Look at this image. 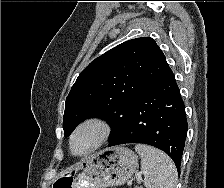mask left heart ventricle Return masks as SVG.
Segmentation results:
<instances>
[{
    "mask_svg": "<svg viewBox=\"0 0 224 188\" xmlns=\"http://www.w3.org/2000/svg\"><path fill=\"white\" fill-rule=\"evenodd\" d=\"M99 133V129L92 125L82 128L74 138L73 151L80 154L90 149L97 141Z\"/></svg>",
    "mask_w": 224,
    "mask_h": 188,
    "instance_id": "left-heart-ventricle-1",
    "label": "left heart ventricle"
}]
</instances>
